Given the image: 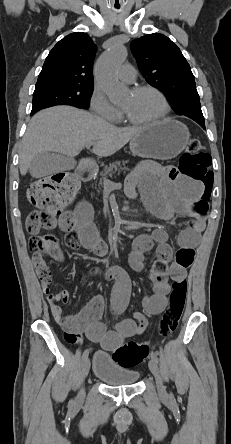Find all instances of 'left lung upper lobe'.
Returning a JSON list of instances; mask_svg holds the SVG:
<instances>
[{"label": "left lung upper lobe", "instance_id": "5c2ea615", "mask_svg": "<svg viewBox=\"0 0 231 444\" xmlns=\"http://www.w3.org/2000/svg\"><path fill=\"white\" fill-rule=\"evenodd\" d=\"M131 50L146 81L163 91L179 115L204 121L194 75L180 49L160 33L131 42Z\"/></svg>", "mask_w": 231, "mask_h": 444}]
</instances>
